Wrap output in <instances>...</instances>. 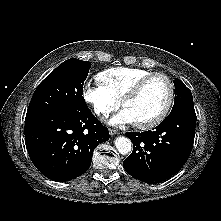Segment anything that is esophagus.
Masks as SVG:
<instances>
[{"label":"esophagus","mask_w":221,"mask_h":221,"mask_svg":"<svg viewBox=\"0 0 221 221\" xmlns=\"http://www.w3.org/2000/svg\"><path fill=\"white\" fill-rule=\"evenodd\" d=\"M109 133H110V135H115V134H118V130H116V129H109Z\"/></svg>","instance_id":"esophagus-1"}]
</instances>
